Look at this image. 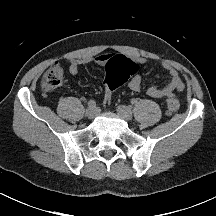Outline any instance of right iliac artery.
<instances>
[{"mask_svg":"<svg viewBox=\"0 0 216 216\" xmlns=\"http://www.w3.org/2000/svg\"><path fill=\"white\" fill-rule=\"evenodd\" d=\"M89 107H95L96 106V102L94 100H90L88 102Z\"/></svg>","mask_w":216,"mask_h":216,"instance_id":"right-iliac-artery-1","label":"right iliac artery"}]
</instances>
